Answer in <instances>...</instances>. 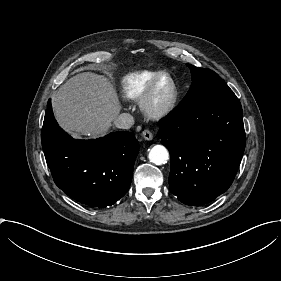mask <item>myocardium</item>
Here are the masks:
<instances>
[{"label": "myocardium", "mask_w": 281, "mask_h": 281, "mask_svg": "<svg viewBox=\"0 0 281 281\" xmlns=\"http://www.w3.org/2000/svg\"><path fill=\"white\" fill-rule=\"evenodd\" d=\"M165 79L171 83L172 89L168 100L163 104H158L155 99V93L158 85ZM178 98V87L176 80L171 74L161 73L147 87L140 98L139 106L142 113L151 119H160L168 116L175 108Z\"/></svg>", "instance_id": "obj_1"}]
</instances>
